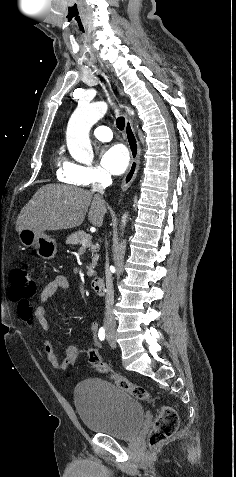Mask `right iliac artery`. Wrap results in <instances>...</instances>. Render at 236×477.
Masks as SVG:
<instances>
[{"label": "right iliac artery", "instance_id": "right-iliac-artery-1", "mask_svg": "<svg viewBox=\"0 0 236 477\" xmlns=\"http://www.w3.org/2000/svg\"><path fill=\"white\" fill-rule=\"evenodd\" d=\"M105 336H106L105 329L101 327L98 332V337L101 341H103L105 339Z\"/></svg>", "mask_w": 236, "mask_h": 477}]
</instances>
